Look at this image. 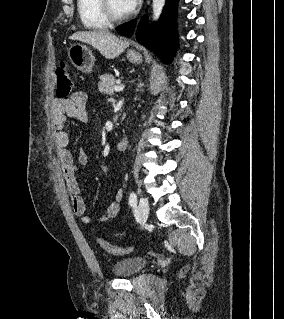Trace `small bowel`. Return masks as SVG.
<instances>
[{"mask_svg": "<svg viewBox=\"0 0 284 319\" xmlns=\"http://www.w3.org/2000/svg\"><path fill=\"white\" fill-rule=\"evenodd\" d=\"M87 101V95L84 92L77 91L66 101L54 100L51 111L54 143L57 147L60 166L71 196L72 209L81 222L85 224L91 222V217L86 212L85 201L77 182V166L72 153L67 148L69 137L65 130V123L67 118L86 122L88 120ZM78 161L81 165L88 164L89 157L85 150L81 149L78 152ZM123 194L124 192L121 188L115 192L114 201L108 205L106 212L97 219L99 223H107L118 215Z\"/></svg>", "mask_w": 284, "mask_h": 319, "instance_id": "small-bowel-1", "label": "small bowel"}]
</instances>
